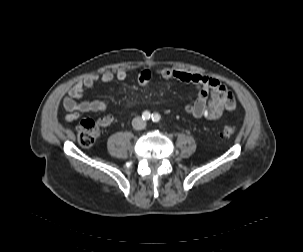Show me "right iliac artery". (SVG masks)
I'll use <instances>...</instances> for the list:
<instances>
[{
	"mask_svg": "<svg viewBox=\"0 0 303 252\" xmlns=\"http://www.w3.org/2000/svg\"><path fill=\"white\" fill-rule=\"evenodd\" d=\"M143 120H149L151 118V114L149 111H144L142 114Z\"/></svg>",
	"mask_w": 303,
	"mask_h": 252,
	"instance_id": "right-iliac-artery-1",
	"label": "right iliac artery"
}]
</instances>
